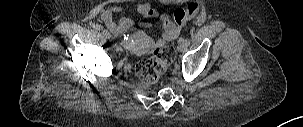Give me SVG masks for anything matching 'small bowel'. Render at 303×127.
<instances>
[{
  "instance_id": "c3829d8e",
  "label": "small bowel",
  "mask_w": 303,
  "mask_h": 127,
  "mask_svg": "<svg viewBox=\"0 0 303 127\" xmlns=\"http://www.w3.org/2000/svg\"><path fill=\"white\" fill-rule=\"evenodd\" d=\"M123 11V7L119 4L107 6L100 13V18L105 26L118 38L122 44L137 54H144L151 50L158 41H169L177 33V28L168 16H161V29L159 39L148 36L143 29H152L150 23L137 22L134 19L125 16L116 20L115 13ZM136 12L148 19L159 17V13L152 7L149 2L142 3L137 6Z\"/></svg>"
}]
</instances>
